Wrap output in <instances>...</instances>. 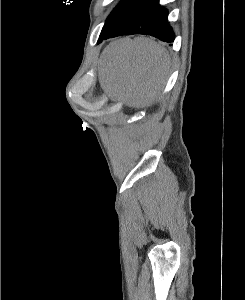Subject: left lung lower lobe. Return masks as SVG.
Wrapping results in <instances>:
<instances>
[{
	"label": "left lung lower lobe",
	"mask_w": 245,
	"mask_h": 300,
	"mask_svg": "<svg viewBox=\"0 0 245 300\" xmlns=\"http://www.w3.org/2000/svg\"><path fill=\"white\" fill-rule=\"evenodd\" d=\"M167 16L168 11L159 5V0H145L126 13L107 32L100 34L98 43L131 34H147L165 42H173L175 35Z\"/></svg>",
	"instance_id": "left-lung-lower-lobe-1"
}]
</instances>
